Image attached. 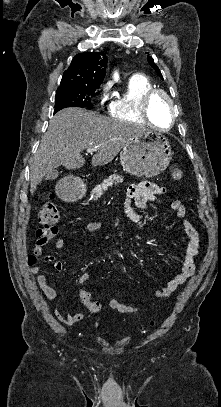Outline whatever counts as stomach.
Segmentation results:
<instances>
[{"label": "stomach", "instance_id": "0dacf381", "mask_svg": "<svg viewBox=\"0 0 221 407\" xmlns=\"http://www.w3.org/2000/svg\"><path fill=\"white\" fill-rule=\"evenodd\" d=\"M172 158L168 139L161 133L146 131L134 137L120 153L123 169L138 177H154L164 171ZM86 186L74 179L63 190V199L74 202L81 199Z\"/></svg>", "mask_w": 221, "mask_h": 407}]
</instances>
